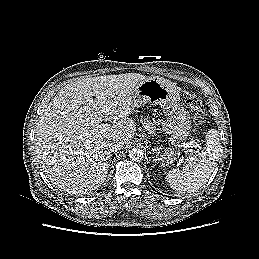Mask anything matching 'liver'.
<instances>
[{
    "label": "liver",
    "mask_w": 259,
    "mask_h": 259,
    "mask_svg": "<svg viewBox=\"0 0 259 259\" xmlns=\"http://www.w3.org/2000/svg\"><path fill=\"white\" fill-rule=\"evenodd\" d=\"M146 79L137 73L84 78L57 93L41 115L34 139L41 168L54 185L88 194L104 183L111 158L108 143L117 140L126 148L133 139L132 93ZM102 121L113 125L104 130Z\"/></svg>",
    "instance_id": "obj_1"
}]
</instances>
